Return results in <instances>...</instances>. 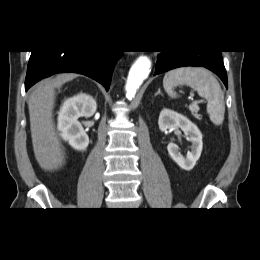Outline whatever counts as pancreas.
<instances>
[{"label":"pancreas","instance_id":"pancreas-1","mask_svg":"<svg viewBox=\"0 0 260 260\" xmlns=\"http://www.w3.org/2000/svg\"><path fill=\"white\" fill-rule=\"evenodd\" d=\"M189 110L191 111L192 115H193L196 119H198V120L201 119V115L198 114V111H199L198 105H196V104H191V105H189Z\"/></svg>","mask_w":260,"mask_h":260}]
</instances>
